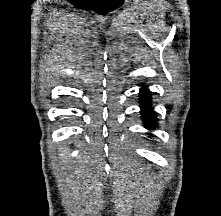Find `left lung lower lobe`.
I'll list each match as a JSON object with an SVG mask.
<instances>
[{"label": "left lung lower lobe", "mask_w": 221, "mask_h": 216, "mask_svg": "<svg viewBox=\"0 0 221 216\" xmlns=\"http://www.w3.org/2000/svg\"><path fill=\"white\" fill-rule=\"evenodd\" d=\"M150 91L144 87L140 89V105H141V114L142 118L144 119L147 127L153 129L156 127V116L154 115L153 108L151 107Z\"/></svg>", "instance_id": "left-lung-lower-lobe-1"}]
</instances>
